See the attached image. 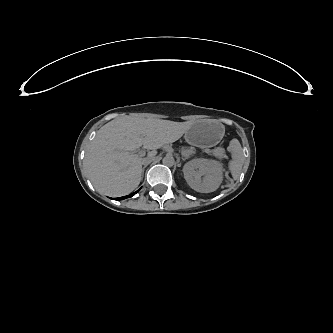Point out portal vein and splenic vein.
Wrapping results in <instances>:
<instances>
[{
    "mask_svg": "<svg viewBox=\"0 0 333 333\" xmlns=\"http://www.w3.org/2000/svg\"><path fill=\"white\" fill-rule=\"evenodd\" d=\"M138 155H139L140 157L145 156V151H143V150L139 151Z\"/></svg>",
    "mask_w": 333,
    "mask_h": 333,
    "instance_id": "18ae733b",
    "label": "portal vein and splenic vein"
}]
</instances>
